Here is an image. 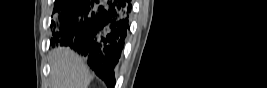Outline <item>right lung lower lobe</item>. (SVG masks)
<instances>
[{"mask_svg": "<svg viewBox=\"0 0 267 88\" xmlns=\"http://www.w3.org/2000/svg\"><path fill=\"white\" fill-rule=\"evenodd\" d=\"M130 0H69L51 43L77 50L109 88L129 30Z\"/></svg>", "mask_w": 267, "mask_h": 88, "instance_id": "right-lung-lower-lobe-1", "label": "right lung lower lobe"}]
</instances>
